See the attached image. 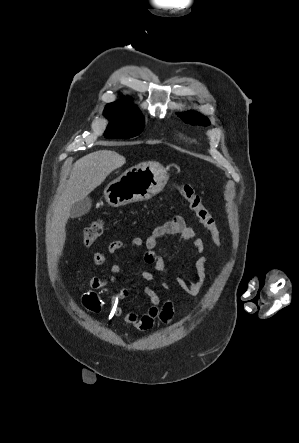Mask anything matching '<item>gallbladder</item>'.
Returning a JSON list of instances; mask_svg holds the SVG:
<instances>
[{
  "label": "gallbladder",
  "mask_w": 299,
  "mask_h": 443,
  "mask_svg": "<svg viewBox=\"0 0 299 443\" xmlns=\"http://www.w3.org/2000/svg\"><path fill=\"white\" fill-rule=\"evenodd\" d=\"M92 201L89 197H85L73 203L70 208V216L72 218L81 217L87 214L91 208Z\"/></svg>",
  "instance_id": "gallbladder-1"
}]
</instances>
